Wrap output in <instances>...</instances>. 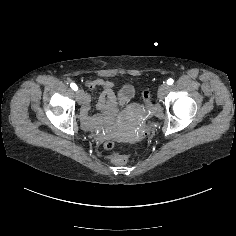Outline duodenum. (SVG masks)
I'll return each instance as SVG.
<instances>
[{"label": "duodenum", "mask_w": 236, "mask_h": 236, "mask_svg": "<svg viewBox=\"0 0 236 236\" xmlns=\"http://www.w3.org/2000/svg\"><path fill=\"white\" fill-rule=\"evenodd\" d=\"M89 97L84 100V107L82 111V123L86 128L92 129L103 124L109 115L113 114L115 111L116 100L113 92L104 91L98 101V108L103 110V114L96 116H89Z\"/></svg>", "instance_id": "410a0bca"}]
</instances>
